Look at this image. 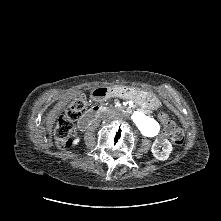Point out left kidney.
Returning <instances> with one entry per match:
<instances>
[{
  "label": "left kidney",
  "mask_w": 221,
  "mask_h": 221,
  "mask_svg": "<svg viewBox=\"0 0 221 221\" xmlns=\"http://www.w3.org/2000/svg\"><path fill=\"white\" fill-rule=\"evenodd\" d=\"M172 149V144L168 139H156L152 144L151 152L156 159L164 161L169 158Z\"/></svg>",
  "instance_id": "1"
}]
</instances>
